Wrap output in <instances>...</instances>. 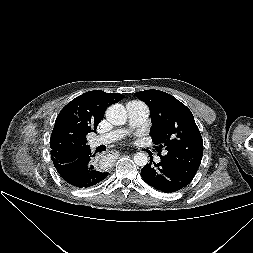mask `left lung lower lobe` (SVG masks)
Returning a JSON list of instances; mask_svg holds the SVG:
<instances>
[{
  "mask_svg": "<svg viewBox=\"0 0 253 253\" xmlns=\"http://www.w3.org/2000/svg\"><path fill=\"white\" fill-rule=\"evenodd\" d=\"M141 176L148 185L165 193L178 191L192 181L162 160L158 164L151 162L145 165Z\"/></svg>",
  "mask_w": 253,
  "mask_h": 253,
  "instance_id": "0a47b994",
  "label": "left lung lower lobe"
}]
</instances>
